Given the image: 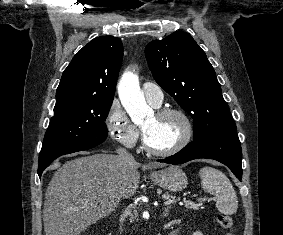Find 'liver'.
Instances as JSON below:
<instances>
[{"mask_svg":"<svg viewBox=\"0 0 283 235\" xmlns=\"http://www.w3.org/2000/svg\"><path fill=\"white\" fill-rule=\"evenodd\" d=\"M162 166L135 160L120 163L117 156L104 153L65 162L54 173L45 193V235H79L109 216L117 207L118 198L135 194L140 182L139 167Z\"/></svg>","mask_w":283,"mask_h":235,"instance_id":"obj_1","label":"liver"}]
</instances>
